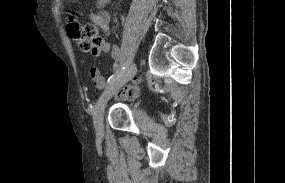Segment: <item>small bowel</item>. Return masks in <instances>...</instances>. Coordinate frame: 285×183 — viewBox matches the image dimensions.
Masks as SVG:
<instances>
[{
  "label": "small bowel",
  "instance_id": "c3829d8e",
  "mask_svg": "<svg viewBox=\"0 0 285 183\" xmlns=\"http://www.w3.org/2000/svg\"><path fill=\"white\" fill-rule=\"evenodd\" d=\"M109 2L110 0H96V11H92L89 14L93 24L99 27L104 33V36L101 38L100 45L92 52V54L94 56L110 54L114 61L113 70L116 73L121 68V52L117 46L112 45L108 41L111 17L109 12L106 10V7ZM90 77L97 89L102 90L105 87V78L98 68L93 67L90 69ZM138 95L139 88L137 86H132L129 87L124 94L119 95V97L128 96L130 98H136Z\"/></svg>",
  "mask_w": 285,
  "mask_h": 183
}]
</instances>
